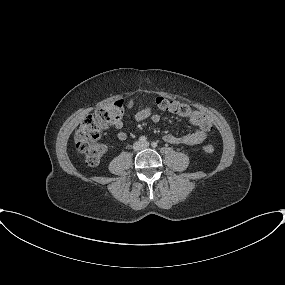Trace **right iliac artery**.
Masks as SVG:
<instances>
[{
    "mask_svg": "<svg viewBox=\"0 0 285 285\" xmlns=\"http://www.w3.org/2000/svg\"><path fill=\"white\" fill-rule=\"evenodd\" d=\"M139 141L142 142V143H144V142L147 141V138H146L145 136H141V137L139 138Z\"/></svg>",
    "mask_w": 285,
    "mask_h": 285,
    "instance_id": "right-iliac-artery-1",
    "label": "right iliac artery"
}]
</instances>
